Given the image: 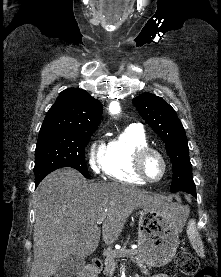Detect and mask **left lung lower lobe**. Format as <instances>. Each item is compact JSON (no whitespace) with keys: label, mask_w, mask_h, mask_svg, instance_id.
Segmentation results:
<instances>
[{"label":"left lung lower lobe","mask_w":221,"mask_h":277,"mask_svg":"<svg viewBox=\"0 0 221 277\" xmlns=\"http://www.w3.org/2000/svg\"><path fill=\"white\" fill-rule=\"evenodd\" d=\"M187 193H190V194H192L193 196H195L196 197V191H195V188H192L189 192H187Z\"/></svg>","instance_id":"left-lung-lower-lobe-1"}]
</instances>
